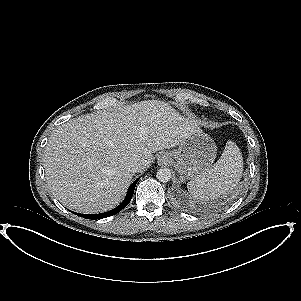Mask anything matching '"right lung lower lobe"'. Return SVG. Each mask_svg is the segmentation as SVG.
Returning a JSON list of instances; mask_svg holds the SVG:
<instances>
[{
  "label": "right lung lower lobe",
  "mask_w": 301,
  "mask_h": 301,
  "mask_svg": "<svg viewBox=\"0 0 301 301\" xmlns=\"http://www.w3.org/2000/svg\"><path fill=\"white\" fill-rule=\"evenodd\" d=\"M138 180L139 179H137L136 181H134L130 185L124 201L118 207H116L115 209L110 210V211L105 212V213H100V214H89V215H87V214H78V215L81 216V217H84L86 219L95 220V219H102V218L110 217L112 215L117 214L118 212H120L123 208H125L129 204L130 200L132 199L134 189H135V186H136Z\"/></svg>",
  "instance_id": "right-lung-lower-lobe-1"
}]
</instances>
